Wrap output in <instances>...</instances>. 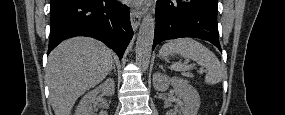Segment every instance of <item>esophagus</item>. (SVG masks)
Masks as SVG:
<instances>
[{
    "instance_id": "esophagus-1",
    "label": "esophagus",
    "mask_w": 285,
    "mask_h": 115,
    "mask_svg": "<svg viewBox=\"0 0 285 115\" xmlns=\"http://www.w3.org/2000/svg\"><path fill=\"white\" fill-rule=\"evenodd\" d=\"M130 20L133 30L136 31L141 22V12L131 9Z\"/></svg>"
}]
</instances>
